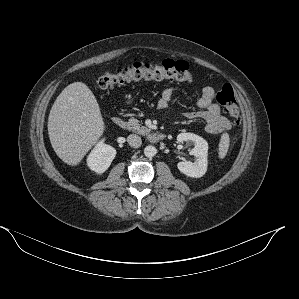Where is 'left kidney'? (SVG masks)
Wrapping results in <instances>:
<instances>
[{
  "label": "left kidney",
  "instance_id": "1",
  "mask_svg": "<svg viewBox=\"0 0 299 299\" xmlns=\"http://www.w3.org/2000/svg\"><path fill=\"white\" fill-rule=\"evenodd\" d=\"M177 141L193 142L194 148L191 154L195 156V162L182 161L177 164L179 171L188 177L200 178L207 171V156H208V143L202 137L193 133H180L177 136Z\"/></svg>",
  "mask_w": 299,
  "mask_h": 299
}]
</instances>
